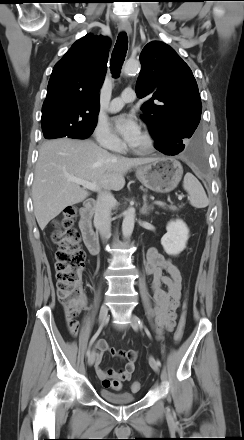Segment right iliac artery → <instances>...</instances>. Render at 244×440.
Masks as SVG:
<instances>
[{
    "instance_id": "1",
    "label": "right iliac artery",
    "mask_w": 244,
    "mask_h": 440,
    "mask_svg": "<svg viewBox=\"0 0 244 440\" xmlns=\"http://www.w3.org/2000/svg\"><path fill=\"white\" fill-rule=\"evenodd\" d=\"M102 329H103V324L98 328V330L96 331V333L94 334V336L92 337V339L90 341V344H89V347H88V350H87V353H86L87 357L90 356V354H91V346H92L93 342L96 340V338L99 336V334L101 333Z\"/></svg>"
}]
</instances>
